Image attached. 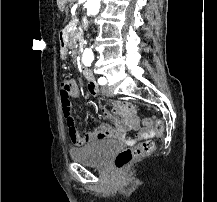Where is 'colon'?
Returning <instances> with one entry per match:
<instances>
[{
    "instance_id": "colon-1",
    "label": "colon",
    "mask_w": 217,
    "mask_h": 202,
    "mask_svg": "<svg viewBox=\"0 0 217 202\" xmlns=\"http://www.w3.org/2000/svg\"><path fill=\"white\" fill-rule=\"evenodd\" d=\"M71 86L69 82H62L60 84V91H57V96H60L62 112L66 124L67 131H76L74 125V119L71 111ZM150 118H142V123L144 126H151L152 122L149 121ZM156 133L158 137H161V134L165 133L164 125L161 121H158V124L155 125ZM154 149V142L150 138H145L144 143H140L136 147H127L121 150L114 158L115 166L118 169H123L129 165L132 161L137 158L149 155ZM121 176H124V173H121Z\"/></svg>"
}]
</instances>
